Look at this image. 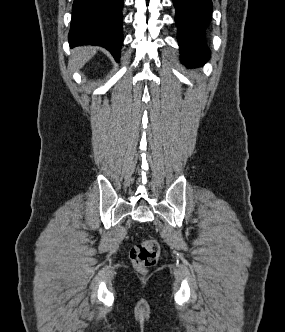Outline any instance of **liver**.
<instances>
[{
	"mask_svg": "<svg viewBox=\"0 0 285 332\" xmlns=\"http://www.w3.org/2000/svg\"><path fill=\"white\" fill-rule=\"evenodd\" d=\"M96 47L83 46L78 47L72 51V57L70 59V66L75 69H81L95 54Z\"/></svg>",
	"mask_w": 285,
	"mask_h": 332,
	"instance_id": "6515ba94",
	"label": "liver"
}]
</instances>
